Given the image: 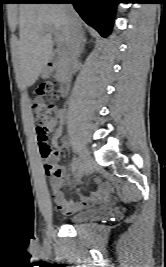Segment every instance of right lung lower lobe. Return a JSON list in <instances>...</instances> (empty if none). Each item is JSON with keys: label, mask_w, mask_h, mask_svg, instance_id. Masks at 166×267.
Listing matches in <instances>:
<instances>
[{"label": "right lung lower lobe", "mask_w": 166, "mask_h": 267, "mask_svg": "<svg viewBox=\"0 0 166 267\" xmlns=\"http://www.w3.org/2000/svg\"><path fill=\"white\" fill-rule=\"evenodd\" d=\"M20 3H72L76 11L102 36L112 30L116 10L115 0H28Z\"/></svg>", "instance_id": "1"}]
</instances>
